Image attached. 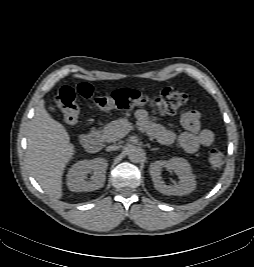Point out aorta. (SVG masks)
<instances>
[{"mask_svg": "<svg viewBox=\"0 0 254 267\" xmlns=\"http://www.w3.org/2000/svg\"><path fill=\"white\" fill-rule=\"evenodd\" d=\"M128 158L133 163H139L143 160L144 153L141 149L135 146H130L128 148Z\"/></svg>", "mask_w": 254, "mask_h": 267, "instance_id": "1", "label": "aorta"}]
</instances>
